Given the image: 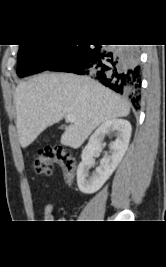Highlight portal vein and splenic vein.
<instances>
[{
    "mask_svg": "<svg viewBox=\"0 0 166 267\" xmlns=\"http://www.w3.org/2000/svg\"><path fill=\"white\" fill-rule=\"evenodd\" d=\"M67 120L71 123H74L76 121V117L72 114H67Z\"/></svg>",
    "mask_w": 166,
    "mask_h": 267,
    "instance_id": "obj_1",
    "label": "portal vein and splenic vein"
}]
</instances>
